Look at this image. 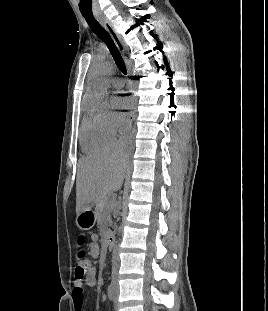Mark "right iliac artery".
Here are the masks:
<instances>
[{
  "instance_id": "right-iliac-artery-1",
  "label": "right iliac artery",
  "mask_w": 268,
  "mask_h": 311,
  "mask_svg": "<svg viewBox=\"0 0 268 311\" xmlns=\"http://www.w3.org/2000/svg\"><path fill=\"white\" fill-rule=\"evenodd\" d=\"M108 298L110 301L114 300V285L111 283L107 289Z\"/></svg>"
}]
</instances>
